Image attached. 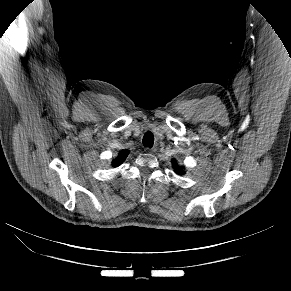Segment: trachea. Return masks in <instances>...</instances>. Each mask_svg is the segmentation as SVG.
Here are the masks:
<instances>
[{"label": "trachea", "mask_w": 291, "mask_h": 291, "mask_svg": "<svg viewBox=\"0 0 291 291\" xmlns=\"http://www.w3.org/2000/svg\"><path fill=\"white\" fill-rule=\"evenodd\" d=\"M143 145L145 147H149L151 148L154 144V136L151 132H147L145 133V135L143 136Z\"/></svg>", "instance_id": "trachea-1"}]
</instances>
